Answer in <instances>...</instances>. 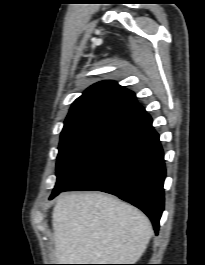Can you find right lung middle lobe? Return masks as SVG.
Listing matches in <instances>:
<instances>
[{"instance_id":"right-lung-middle-lobe-1","label":"right lung middle lobe","mask_w":205,"mask_h":265,"mask_svg":"<svg viewBox=\"0 0 205 265\" xmlns=\"http://www.w3.org/2000/svg\"><path fill=\"white\" fill-rule=\"evenodd\" d=\"M125 128L99 124L61 134L52 194L67 187Z\"/></svg>"}]
</instances>
